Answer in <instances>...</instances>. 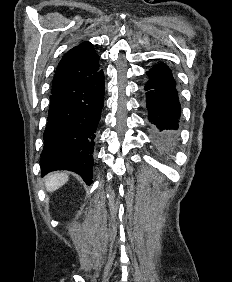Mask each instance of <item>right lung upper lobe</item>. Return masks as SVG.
Here are the masks:
<instances>
[{
	"instance_id": "obj_1",
	"label": "right lung upper lobe",
	"mask_w": 232,
	"mask_h": 282,
	"mask_svg": "<svg viewBox=\"0 0 232 282\" xmlns=\"http://www.w3.org/2000/svg\"><path fill=\"white\" fill-rule=\"evenodd\" d=\"M99 71V56L90 42L68 51L59 62L52 83V94Z\"/></svg>"
}]
</instances>
